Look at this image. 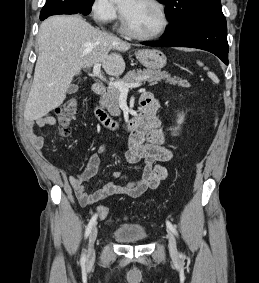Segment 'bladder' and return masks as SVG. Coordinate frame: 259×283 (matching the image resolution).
<instances>
[{
	"instance_id": "obj_1",
	"label": "bladder",
	"mask_w": 259,
	"mask_h": 283,
	"mask_svg": "<svg viewBox=\"0 0 259 283\" xmlns=\"http://www.w3.org/2000/svg\"><path fill=\"white\" fill-rule=\"evenodd\" d=\"M114 237L121 242H141L147 239V230L142 224L127 223L117 227Z\"/></svg>"
}]
</instances>
